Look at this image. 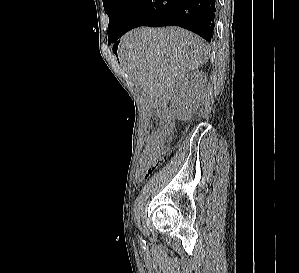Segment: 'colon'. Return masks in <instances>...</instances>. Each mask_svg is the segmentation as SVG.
Listing matches in <instances>:
<instances>
[{
    "label": "colon",
    "instance_id": "colon-1",
    "mask_svg": "<svg viewBox=\"0 0 299 273\" xmlns=\"http://www.w3.org/2000/svg\"><path fill=\"white\" fill-rule=\"evenodd\" d=\"M173 130L172 123H167L160 131L155 132L147 141L138 164V177L148 178L161 161H165L170 147L165 143Z\"/></svg>",
    "mask_w": 299,
    "mask_h": 273
}]
</instances>
